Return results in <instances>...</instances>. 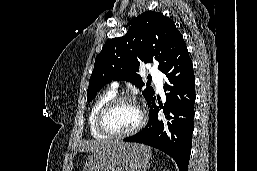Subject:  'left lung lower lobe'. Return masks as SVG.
I'll return each mask as SVG.
<instances>
[{"label":"left lung lower lobe","mask_w":257,"mask_h":171,"mask_svg":"<svg viewBox=\"0 0 257 171\" xmlns=\"http://www.w3.org/2000/svg\"><path fill=\"white\" fill-rule=\"evenodd\" d=\"M166 77V103L160 105L155 97L147 102L150 119L147 126L134 136L124 139L157 148L177 163L180 171H187L192 146L195 76L187 47L174 52L160 70Z\"/></svg>","instance_id":"left-lung-lower-lobe-1"}]
</instances>
